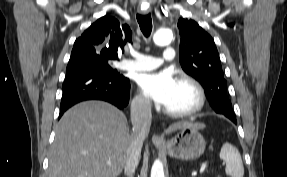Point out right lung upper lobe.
<instances>
[{
    "label": "right lung upper lobe",
    "instance_id": "right-lung-upper-lobe-1",
    "mask_svg": "<svg viewBox=\"0 0 287 177\" xmlns=\"http://www.w3.org/2000/svg\"><path fill=\"white\" fill-rule=\"evenodd\" d=\"M131 35L128 25H120L117 19L105 15L76 39L69 61L90 56L117 60L118 51L131 41Z\"/></svg>",
    "mask_w": 287,
    "mask_h": 177
}]
</instances>
